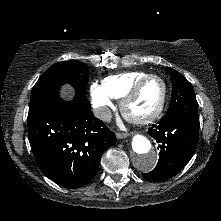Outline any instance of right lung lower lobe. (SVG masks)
I'll return each instance as SVG.
<instances>
[{"label":"right lung lower lobe","mask_w":221,"mask_h":221,"mask_svg":"<svg viewBox=\"0 0 221 221\" xmlns=\"http://www.w3.org/2000/svg\"><path fill=\"white\" fill-rule=\"evenodd\" d=\"M28 137L40 170L67 188L87 184L98 172L103 152L116 136L94 117L84 94L57 98L28 120Z\"/></svg>","instance_id":"1"}]
</instances>
